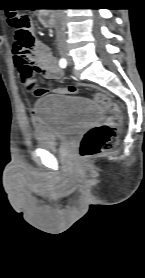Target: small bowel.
<instances>
[{
  "label": "small bowel",
  "instance_id": "obj_1",
  "mask_svg": "<svg viewBox=\"0 0 145 278\" xmlns=\"http://www.w3.org/2000/svg\"><path fill=\"white\" fill-rule=\"evenodd\" d=\"M32 48L35 50V54L40 62L39 65L34 64ZM12 55L14 64L19 70L20 81L24 88L25 82L33 77V67H36L38 73L48 81L56 80L62 75L61 66L52 51L39 41H35L29 48H23L14 38Z\"/></svg>",
  "mask_w": 145,
  "mask_h": 278
}]
</instances>
